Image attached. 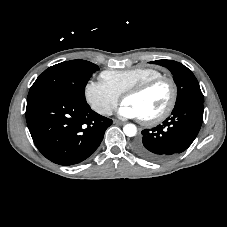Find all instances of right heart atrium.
I'll return each mask as SVG.
<instances>
[{
    "label": "right heart atrium",
    "instance_id": "1",
    "mask_svg": "<svg viewBox=\"0 0 227 227\" xmlns=\"http://www.w3.org/2000/svg\"><path fill=\"white\" fill-rule=\"evenodd\" d=\"M84 95L90 107L100 115L112 113L119 102L120 96L102 81L90 80L84 88Z\"/></svg>",
    "mask_w": 227,
    "mask_h": 227
}]
</instances>
